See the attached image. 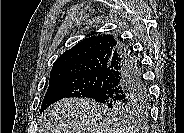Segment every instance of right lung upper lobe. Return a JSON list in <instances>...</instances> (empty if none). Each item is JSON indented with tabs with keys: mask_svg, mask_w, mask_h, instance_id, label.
<instances>
[{
	"mask_svg": "<svg viewBox=\"0 0 184 133\" xmlns=\"http://www.w3.org/2000/svg\"><path fill=\"white\" fill-rule=\"evenodd\" d=\"M118 43V39L111 34L85 38L65 51L54 62L49 82L61 78L103 73Z\"/></svg>",
	"mask_w": 184,
	"mask_h": 133,
	"instance_id": "cb5924a9",
	"label": "right lung upper lobe"
}]
</instances>
